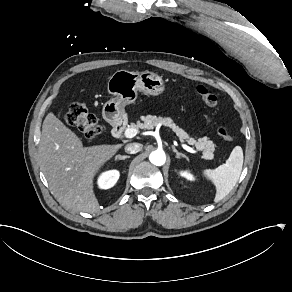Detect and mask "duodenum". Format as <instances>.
Here are the masks:
<instances>
[{
    "label": "duodenum",
    "mask_w": 292,
    "mask_h": 292,
    "mask_svg": "<svg viewBox=\"0 0 292 292\" xmlns=\"http://www.w3.org/2000/svg\"><path fill=\"white\" fill-rule=\"evenodd\" d=\"M124 131H125V124L123 122H120V123L113 126L112 135L116 139H121L124 135Z\"/></svg>",
    "instance_id": "duodenum-1"
}]
</instances>
